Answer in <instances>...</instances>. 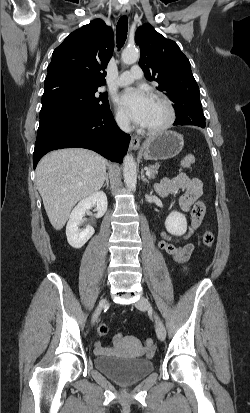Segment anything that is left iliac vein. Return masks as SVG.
I'll return each instance as SVG.
<instances>
[{
  "label": "left iliac vein",
  "mask_w": 250,
  "mask_h": 413,
  "mask_svg": "<svg viewBox=\"0 0 250 413\" xmlns=\"http://www.w3.org/2000/svg\"><path fill=\"white\" fill-rule=\"evenodd\" d=\"M135 306L140 310H151V304L147 298L144 296L140 297L139 300L135 303ZM155 323H156V334L159 340L163 341L166 337V330L163 322L157 314H154Z\"/></svg>",
  "instance_id": "1"
}]
</instances>
